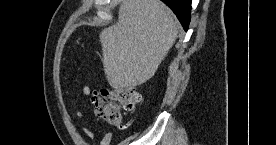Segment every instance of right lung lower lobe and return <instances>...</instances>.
<instances>
[{"label": "right lung lower lobe", "instance_id": "98d812e1", "mask_svg": "<svg viewBox=\"0 0 276 145\" xmlns=\"http://www.w3.org/2000/svg\"><path fill=\"white\" fill-rule=\"evenodd\" d=\"M176 14L185 30L190 23L191 0H162Z\"/></svg>", "mask_w": 276, "mask_h": 145}]
</instances>
